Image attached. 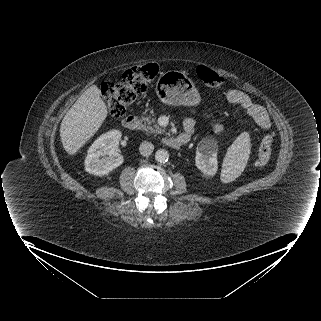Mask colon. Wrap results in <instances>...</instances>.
Listing matches in <instances>:
<instances>
[{
	"label": "colon",
	"mask_w": 321,
	"mask_h": 321,
	"mask_svg": "<svg viewBox=\"0 0 321 321\" xmlns=\"http://www.w3.org/2000/svg\"><path fill=\"white\" fill-rule=\"evenodd\" d=\"M159 67L156 63H147L128 68L122 75V79L116 83H105L102 85L101 94L106 103L109 114L112 117H122L130 105L142 94H144L157 77ZM198 77L210 87H220L224 79L214 70L200 65L197 68ZM273 134L267 133L261 140L257 166H265L272 154Z\"/></svg>",
	"instance_id": "1"
}]
</instances>
